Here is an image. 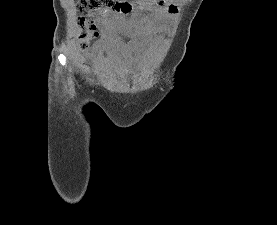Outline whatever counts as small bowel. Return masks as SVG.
Here are the masks:
<instances>
[{"instance_id":"obj_1","label":"small bowel","mask_w":277,"mask_h":225,"mask_svg":"<svg viewBox=\"0 0 277 225\" xmlns=\"http://www.w3.org/2000/svg\"><path fill=\"white\" fill-rule=\"evenodd\" d=\"M176 12L177 5L170 2L158 4L152 14L142 13L130 19L107 12V16L99 19L102 47L118 62L131 64L158 42L159 32L171 24ZM121 36H128L129 41L124 42Z\"/></svg>"}]
</instances>
